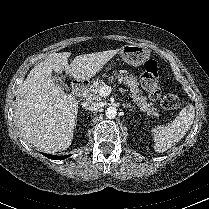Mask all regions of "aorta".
I'll return each mask as SVG.
<instances>
[{"instance_id": "aorta-1", "label": "aorta", "mask_w": 209, "mask_h": 209, "mask_svg": "<svg viewBox=\"0 0 209 209\" xmlns=\"http://www.w3.org/2000/svg\"><path fill=\"white\" fill-rule=\"evenodd\" d=\"M106 113V116L111 119V118H114L116 115H117V110L115 107H108L107 110L105 111Z\"/></svg>"}]
</instances>
